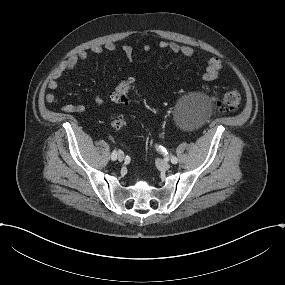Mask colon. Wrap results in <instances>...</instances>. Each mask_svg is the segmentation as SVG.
<instances>
[{
    "mask_svg": "<svg viewBox=\"0 0 285 285\" xmlns=\"http://www.w3.org/2000/svg\"><path fill=\"white\" fill-rule=\"evenodd\" d=\"M133 89V81L130 79L119 83L111 93V98L117 102H126L128 95ZM241 94L238 90L233 89L226 91L219 99H217V106L221 112H232L239 108L241 103ZM126 122L120 115L112 119V126L115 129L125 127Z\"/></svg>",
    "mask_w": 285,
    "mask_h": 285,
    "instance_id": "1",
    "label": "colon"
}]
</instances>
